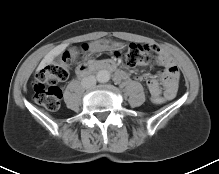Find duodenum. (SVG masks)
<instances>
[{
  "instance_id": "410a0bca",
  "label": "duodenum",
  "mask_w": 219,
  "mask_h": 174,
  "mask_svg": "<svg viewBox=\"0 0 219 174\" xmlns=\"http://www.w3.org/2000/svg\"><path fill=\"white\" fill-rule=\"evenodd\" d=\"M114 69H115L114 63L109 62V61H103V62L92 63V64L87 65V66H80L77 69V74L79 76H87L94 71L114 70Z\"/></svg>"
}]
</instances>
